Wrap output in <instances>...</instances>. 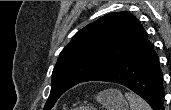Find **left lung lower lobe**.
<instances>
[{"label":"left lung lower lobe","instance_id":"obj_1","mask_svg":"<svg viewBox=\"0 0 171 110\" xmlns=\"http://www.w3.org/2000/svg\"><path fill=\"white\" fill-rule=\"evenodd\" d=\"M159 58L148 37L120 63L93 81L122 84L142 97L154 110H164L163 77Z\"/></svg>","mask_w":171,"mask_h":110}]
</instances>
